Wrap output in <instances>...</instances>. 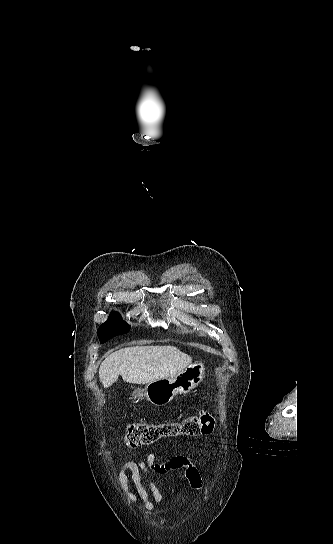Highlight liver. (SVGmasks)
Wrapping results in <instances>:
<instances>
[{
  "label": "liver",
  "mask_w": 333,
  "mask_h": 544,
  "mask_svg": "<svg viewBox=\"0 0 333 544\" xmlns=\"http://www.w3.org/2000/svg\"><path fill=\"white\" fill-rule=\"evenodd\" d=\"M192 358L174 346H133L111 353L100 365L99 379L110 387L119 375L125 382L147 384L171 378L184 370Z\"/></svg>",
  "instance_id": "6515ba94"
}]
</instances>
